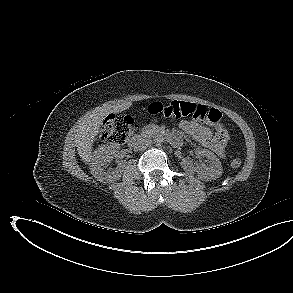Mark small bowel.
<instances>
[{"label":"small bowel","mask_w":293,"mask_h":293,"mask_svg":"<svg viewBox=\"0 0 293 293\" xmlns=\"http://www.w3.org/2000/svg\"><path fill=\"white\" fill-rule=\"evenodd\" d=\"M179 126L183 132L192 136L205 148L212 150L220 157L225 156L224 147L218 143L216 136L206 125L196 121L182 120Z\"/></svg>","instance_id":"1"}]
</instances>
